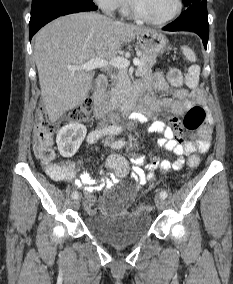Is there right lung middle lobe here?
Instances as JSON below:
<instances>
[{"label":"right lung middle lobe","instance_id":"right-lung-middle-lobe-1","mask_svg":"<svg viewBox=\"0 0 233 284\" xmlns=\"http://www.w3.org/2000/svg\"><path fill=\"white\" fill-rule=\"evenodd\" d=\"M58 4H94L92 0H33L31 13Z\"/></svg>","mask_w":233,"mask_h":284}]
</instances>
